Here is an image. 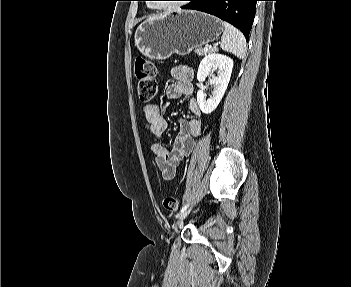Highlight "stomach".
I'll return each mask as SVG.
<instances>
[{
  "label": "stomach",
  "instance_id": "0dacf381",
  "mask_svg": "<svg viewBox=\"0 0 351 287\" xmlns=\"http://www.w3.org/2000/svg\"><path fill=\"white\" fill-rule=\"evenodd\" d=\"M222 32V22L209 14L169 12L141 23L135 32V46L150 59L165 60L172 54L187 55Z\"/></svg>",
  "mask_w": 351,
  "mask_h": 287
}]
</instances>
